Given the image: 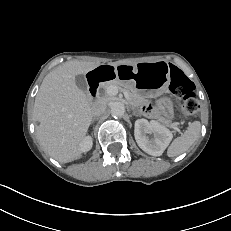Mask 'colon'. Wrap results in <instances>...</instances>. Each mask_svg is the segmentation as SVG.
<instances>
[{"label": "colon", "instance_id": "1", "mask_svg": "<svg viewBox=\"0 0 231 231\" xmlns=\"http://www.w3.org/2000/svg\"><path fill=\"white\" fill-rule=\"evenodd\" d=\"M171 91L182 98L180 116L183 118L193 116L200 110L195 85L181 71L176 70L171 80Z\"/></svg>", "mask_w": 231, "mask_h": 231}]
</instances>
